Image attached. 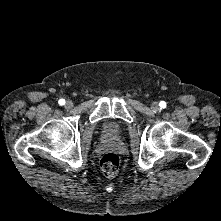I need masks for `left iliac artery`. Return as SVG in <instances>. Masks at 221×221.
<instances>
[{
  "instance_id": "obj_1",
  "label": "left iliac artery",
  "mask_w": 221,
  "mask_h": 221,
  "mask_svg": "<svg viewBox=\"0 0 221 221\" xmlns=\"http://www.w3.org/2000/svg\"><path fill=\"white\" fill-rule=\"evenodd\" d=\"M159 106L161 108H165L166 107V102L165 101H160Z\"/></svg>"
}]
</instances>
